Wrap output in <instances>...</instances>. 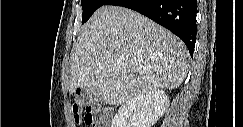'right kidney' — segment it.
<instances>
[{
  "mask_svg": "<svg viewBox=\"0 0 243 127\" xmlns=\"http://www.w3.org/2000/svg\"><path fill=\"white\" fill-rule=\"evenodd\" d=\"M168 106L169 99L163 90L136 95L118 109L111 127H152Z\"/></svg>",
  "mask_w": 243,
  "mask_h": 127,
  "instance_id": "ca27d5eb",
  "label": "right kidney"
}]
</instances>
